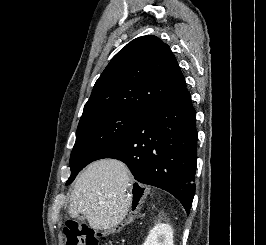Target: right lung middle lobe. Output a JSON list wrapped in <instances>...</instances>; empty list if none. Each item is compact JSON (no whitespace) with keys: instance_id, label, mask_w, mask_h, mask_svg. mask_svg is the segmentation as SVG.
Segmentation results:
<instances>
[{"instance_id":"right-lung-middle-lobe-1","label":"right lung middle lobe","mask_w":266,"mask_h":245,"mask_svg":"<svg viewBox=\"0 0 266 245\" xmlns=\"http://www.w3.org/2000/svg\"><path fill=\"white\" fill-rule=\"evenodd\" d=\"M145 113L103 110L81 117L70 157V184L86 165L120 141Z\"/></svg>"}]
</instances>
